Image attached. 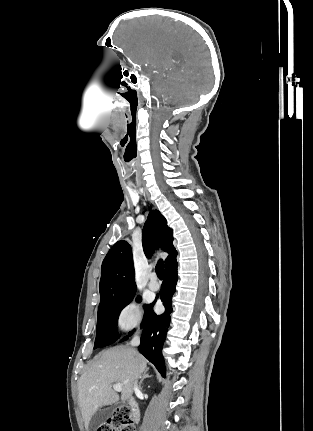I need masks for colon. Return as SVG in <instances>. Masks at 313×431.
Masks as SVG:
<instances>
[{
  "mask_svg": "<svg viewBox=\"0 0 313 431\" xmlns=\"http://www.w3.org/2000/svg\"><path fill=\"white\" fill-rule=\"evenodd\" d=\"M134 415L128 406L117 407L97 431H134Z\"/></svg>",
  "mask_w": 313,
  "mask_h": 431,
  "instance_id": "obj_1",
  "label": "colon"
}]
</instances>
